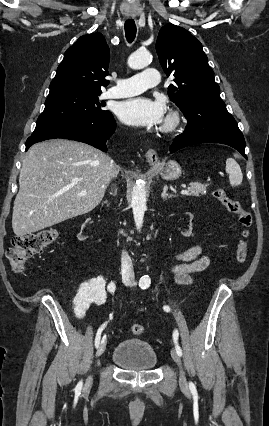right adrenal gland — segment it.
Segmentation results:
<instances>
[{
    "mask_svg": "<svg viewBox=\"0 0 269 426\" xmlns=\"http://www.w3.org/2000/svg\"><path fill=\"white\" fill-rule=\"evenodd\" d=\"M116 193H117V189L114 190V196L116 195ZM105 203L108 204V201H105Z\"/></svg>",
    "mask_w": 269,
    "mask_h": 426,
    "instance_id": "obj_1",
    "label": "right adrenal gland"
}]
</instances>
